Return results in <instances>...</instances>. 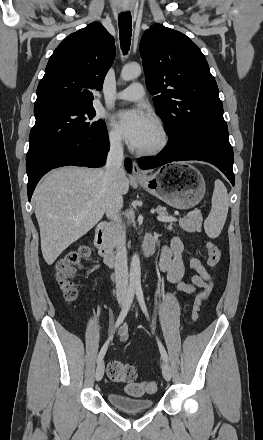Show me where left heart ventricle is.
Returning a JSON list of instances; mask_svg holds the SVG:
<instances>
[{
	"label": "left heart ventricle",
	"instance_id": "obj_1",
	"mask_svg": "<svg viewBox=\"0 0 263 440\" xmlns=\"http://www.w3.org/2000/svg\"><path fill=\"white\" fill-rule=\"evenodd\" d=\"M157 140H158L157 132H156L153 124L151 123V125L147 129L146 133L144 134L141 142L139 143V145L137 147L138 148L149 147V146L155 144L157 142Z\"/></svg>",
	"mask_w": 263,
	"mask_h": 440
}]
</instances>
